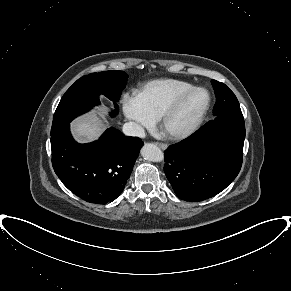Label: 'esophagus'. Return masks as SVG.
<instances>
[{
    "instance_id": "obj_1",
    "label": "esophagus",
    "mask_w": 291,
    "mask_h": 291,
    "mask_svg": "<svg viewBox=\"0 0 291 291\" xmlns=\"http://www.w3.org/2000/svg\"><path fill=\"white\" fill-rule=\"evenodd\" d=\"M155 144H156L157 146H159L160 148H162L163 150L167 149V145L164 144V143L155 142Z\"/></svg>"
}]
</instances>
